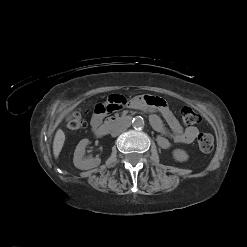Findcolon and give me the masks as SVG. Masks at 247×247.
Instances as JSON below:
<instances>
[{
	"label": "colon",
	"instance_id": "1",
	"mask_svg": "<svg viewBox=\"0 0 247 247\" xmlns=\"http://www.w3.org/2000/svg\"><path fill=\"white\" fill-rule=\"evenodd\" d=\"M123 97V96H122ZM124 98V97H123ZM182 122L186 126H193L200 121V116L189 106H185L181 110ZM85 126L83 115L76 113L68 123V128L71 131H77ZM198 146L202 152H210L214 147V138L209 133H202L198 137Z\"/></svg>",
	"mask_w": 247,
	"mask_h": 247
}]
</instances>
